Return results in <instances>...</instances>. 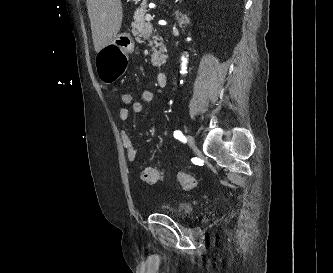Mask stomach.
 I'll return each mask as SVG.
<instances>
[{"instance_id":"stomach-1","label":"stomach","mask_w":333,"mask_h":273,"mask_svg":"<svg viewBox=\"0 0 333 273\" xmlns=\"http://www.w3.org/2000/svg\"><path fill=\"white\" fill-rule=\"evenodd\" d=\"M134 51V40L130 33L118 34L112 43L96 53L95 66L99 79L111 84L127 70V54Z\"/></svg>"}]
</instances>
